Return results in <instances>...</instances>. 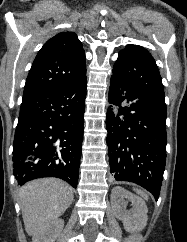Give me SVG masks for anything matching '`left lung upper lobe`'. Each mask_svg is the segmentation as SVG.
<instances>
[{
  "instance_id": "5c2ea615",
  "label": "left lung upper lobe",
  "mask_w": 187,
  "mask_h": 242,
  "mask_svg": "<svg viewBox=\"0 0 187 242\" xmlns=\"http://www.w3.org/2000/svg\"><path fill=\"white\" fill-rule=\"evenodd\" d=\"M113 76L147 94L164 100V87L152 55L139 45H127L119 52Z\"/></svg>"
}]
</instances>
